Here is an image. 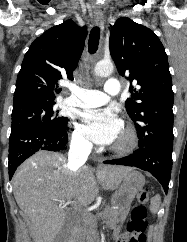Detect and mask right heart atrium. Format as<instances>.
Wrapping results in <instances>:
<instances>
[{"mask_svg": "<svg viewBox=\"0 0 187 242\" xmlns=\"http://www.w3.org/2000/svg\"><path fill=\"white\" fill-rule=\"evenodd\" d=\"M72 146L78 151H87L90 149V142L83 136L78 127L75 128L72 135Z\"/></svg>", "mask_w": 187, "mask_h": 242, "instance_id": "obj_1", "label": "right heart atrium"}]
</instances>
